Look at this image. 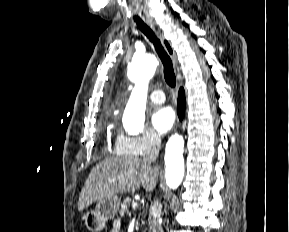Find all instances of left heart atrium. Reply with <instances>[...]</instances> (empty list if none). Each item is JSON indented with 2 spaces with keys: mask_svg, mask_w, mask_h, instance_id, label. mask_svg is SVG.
<instances>
[{
  "mask_svg": "<svg viewBox=\"0 0 289 232\" xmlns=\"http://www.w3.org/2000/svg\"><path fill=\"white\" fill-rule=\"evenodd\" d=\"M175 121V114L170 107H158L151 114V125L159 135L166 134Z\"/></svg>",
  "mask_w": 289,
  "mask_h": 232,
  "instance_id": "39dd6f15",
  "label": "left heart atrium"
}]
</instances>
